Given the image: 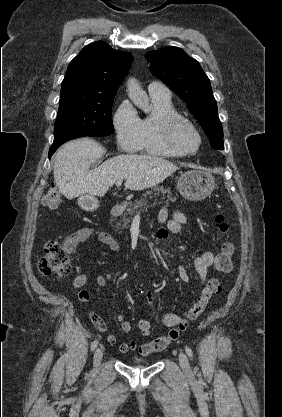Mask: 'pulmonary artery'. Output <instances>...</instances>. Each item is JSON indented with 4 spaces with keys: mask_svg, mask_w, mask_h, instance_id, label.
Instances as JSON below:
<instances>
[{
    "mask_svg": "<svg viewBox=\"0 0 282 417\" xmlns=\"http://www.w3.org/2000/svg\"><path fill=\"white\" fill-rule=\"evenodd\" d=\"M148 92L151 97L170 99L171 91L160 82H152L148 86Z\"/></svg>",
    "mask_w": 282,
    "mask_h": 417,
    "instance_id": "1",
    "label": "pulmonary artery"
}]
</instances>
